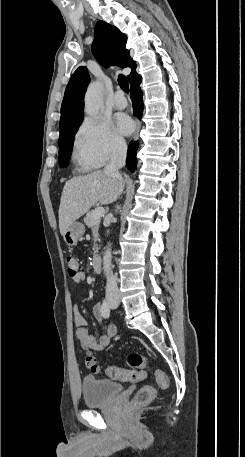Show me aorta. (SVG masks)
Instances as JSON below:
<instances>
[{
	"mask_svg": "<svg viewBox=\"0 0 245 457\" xmlns=\"http://www.w3.org/2000/svg\"><path fill=\"white\" fill-rule=\"evenodd\" d=\"M102 92L103 85L99 81L92 82L87 88L84 98L85 112L91 117H96L103 106ZM111 259L112 249L111 245L108 244L103 255V268L107 277L110 271Z\"/></svg>",
	"mask_w": 245,
	"mask_h": 457,
	"instance_id": "1",
	"label": "aorta"
}]
</instances>
